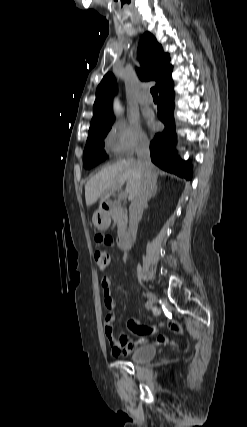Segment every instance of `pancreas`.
<instances>
[{
	"mask_svg": "<svg viewBox=\"0 0 247 427\" xmlns=\"http://www.w3.org/2000/svg\"><path fill=\"white\" fill-rule=\"evenodd\" d=\"M110 215L114 221V224L117 225L118 235H123L127 229V210L121 205L119 201H117L111 207Z\"/></svg>",
	"mask_w": 247,
	"mask_h": 427,
	"instance_id": "obj_1",
	"label": "pancreas"
}]
</instances>
